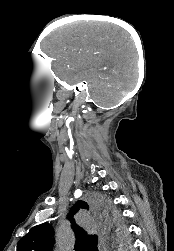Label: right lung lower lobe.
<instances>
[{"label": "right lung lower lobe", "instance_id": "right-lung-lower-lobe-1", "mask_svg": "<svg viewBox=\"0 0 174 251\" xmlns=\"http://www.w3.org/2000/svg\"><path fill=\"white\" fill-rule=\"evenodd\" d=\"M105 231H106V229H105ZM104 235H106V234H104ZM109 244H110V242L107 240L104 250H108V248L110 247Z\"/></svg>", "mask_w": 174, "mask_h": 251}]
</instances>
